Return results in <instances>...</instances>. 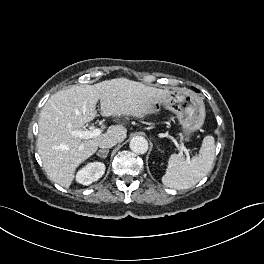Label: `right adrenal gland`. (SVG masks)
Listing matches in <instances>:
<instances>
[{"instance_id": "obj_1", "label": "right adrenal gland", "mask_w": 264, "mask_h": 264, "mask_svg": "<svg viewBox=\"0 0 264 264\" xmlns=\"http://www.w3.org/2000/svg\"><path fill=\"white\" fill-rule=\"evenodd\" d=\"M109 150H99L96 155L100 158L105 159L108 156Z\"/></svg>"}]
</instances>
